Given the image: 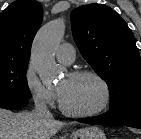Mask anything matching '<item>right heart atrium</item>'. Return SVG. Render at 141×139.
Returning a JSON list of instances; mask_svg holds the SVG:
<instances>
[{"mask_svg": "<svg viewBox=\"0 0 141 139\" xmlns=\"http://www.w3.org/2000/svg\"><path fill=\"white\" fill-rule=\"evenodd\" d=\"M23 79L25 87L36 105L42 107L54 105L57 99L55 91L41 82L31 63L26 66Z\"/></svg>", "mask_w": 141, "mask_h": 139, "instance_id": "right-heart-atrium-1", "label": "right heart atrium"}]
</instances>
